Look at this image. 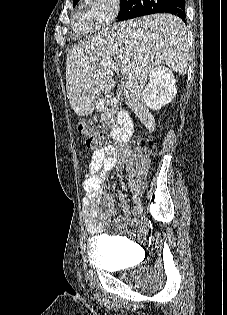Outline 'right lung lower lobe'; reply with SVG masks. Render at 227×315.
Wrapping results in <instances>:
<instances>
[{
  "label": "right lung lower lobe",
  "mask_w": 227,
  "mask_h": 315,
  "mask_svg": "<svg viewBox=\"0 0 227 315\" xmlns=\"http://www.w3.org/2000/svg\"><path fill=\"white\" fill-rule=\"evenodd\" d=\"M155 13H171L186 22L185 0L125 1L120 4V12L117 19L123 21Z\"/></svg>",
  "instance_id": "obj_1"
}]
</instances>
